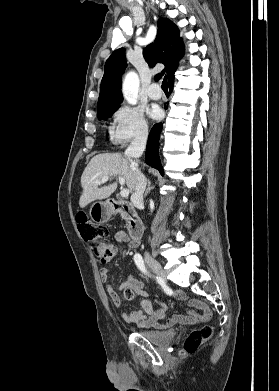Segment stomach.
<instances>
[{
  "label": "stomach",
  "mask_w": 279,
  "mask_h": 391,
  "mask_svg": "<svg viewBox=\"0 0 279 391\" xmlns=\"http://www.w3.org/2000/svg\"><path fill=\"white\" fill-rule=\"evenodd\" d=\"M113 209L109 202H96L90 208V216L94 222H106L112 215Z\"/></svg>",
  "instance_id": "stomach-1"
}]
</instances>
